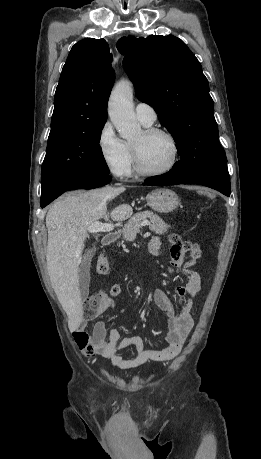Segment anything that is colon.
Returning a JSON list of instances; mask_svg holds the SVG:
<instances>
[{
    "label": "colon",
    "mask_w": 261,
    "mask_h": 459,
    "mask_svg": "<svg viewBox=\"0 0 261 459\" xmlns=\"http://www.w3.org/2000/svg\"><path fill=\"white\" fill-rule=\"evenodd\" d=\"M198 197H215V188H198ZM96 270L99 274H106L109 271L108 260L104 256H100L96 263ZM108 295L106 293H95L87 298L85 301V318L93 319L101 313L103 307L106 305Z\"/></svg>",
    "instance_id": "1"
}]
</instances>
